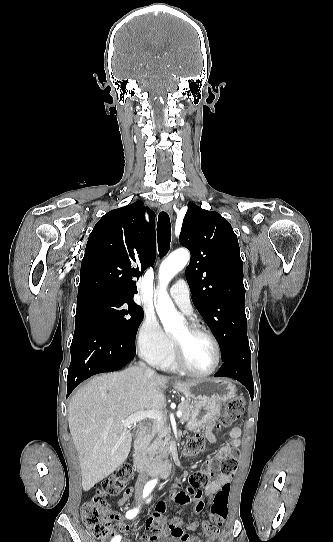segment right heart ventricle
<instances>
[{"instance_id": "obj_1", "label": "right heart ventricle", "mask_w": 333, "mask_h": 542, "mask_svg": "<svg viewBox=\"0 0 333 542\" xmlns=\"http://www.w3.org/2000/svg\"><path fill=\"white\" fill-rule=\"evenodd\" d=\"M149 361L161 368V369H176V364L174 363V361L172 360V357H171V354H170V350L158 355V356H155V357H152V358H149Z\"/></svg>"}]
</instances>
